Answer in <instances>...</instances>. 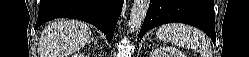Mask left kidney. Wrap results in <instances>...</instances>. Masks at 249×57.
I'll return each instance as SVG.
<instances>
[{
  "mask_svg": "<svg viewBox=\"0 0 249 57\" xmlns=\"http://www.w3.org/2000/svg\"><path fill=\"white\" fill-rule=\"evenodd\" d=\"M151 57H186L175 47H158L151 53Z\"/></svg>",
  "mask_w": 249,
  "mask_h": 57,
  "instance_id": "1",
  "label": "left kidney"
}]
</instances>
